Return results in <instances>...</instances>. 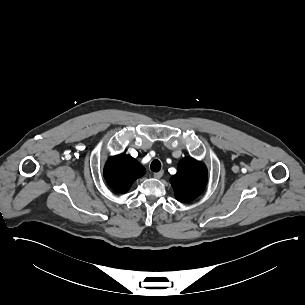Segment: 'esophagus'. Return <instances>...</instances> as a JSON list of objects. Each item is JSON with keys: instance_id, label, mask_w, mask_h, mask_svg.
<instances>
[{"instance_id": "34e87169", "label": "esophagus", "mask_w": 305, "mask_h": 305, "mask_svg": "<svg viewBox=\"0 0 305 305\" xmlns=\"http://www.w3.org/2000/svg\"><path fill=\"white\" fill-rule=\"evenodd\" d=\"M163 174H164V171L161 170V171H159V172H157V173H154V177H155L156 179H160V178L163 176Z\"/></svg>"}]
</instances>
